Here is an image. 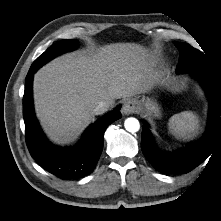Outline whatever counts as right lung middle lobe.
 Instances as JSON below:
<instances>
[{
  "instance_id": "right-lung-middle-lobe-1",
  "label": "right lung middle lobe",
  "mask_w": 221,
  "mask_h": 221,
  "mask_svg": "<svg viewBox=\"0 0 221 221\" xmlns=\"http://www.w3.org/2000/svg\"><path fill=\"white\" fill-rule=\"evenodd\" d=\"M76 40L68 39L62 40L48 48L42 55H40L32 64L30 70H38L42 65L53 59L57 55L64 52L71 51L76 47Z\"/></svg>"
}]
</instances>
